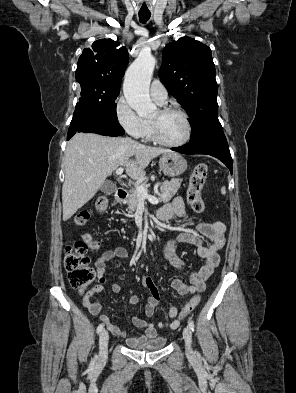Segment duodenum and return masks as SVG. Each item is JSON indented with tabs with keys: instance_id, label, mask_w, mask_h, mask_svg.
Segmentation results:
<instances>
[{
	"instance_id": "410a0bca",
	"label": "duodenum",
	"mask_w": 296,
	"mask_h": 393,
	"mask_svg": "<svg viewBox=\"0 0 296 393\" xmlns=\"http://www.w3.org/2000/svg\"><path fill=\"white\" fill-rule=\"evenodd\" d=\"M127 196H128V192L124 188H118L115 193V197L118 201H124L127 198Z\"/></svg>"
}]
</instances>
